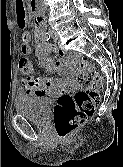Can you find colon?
I'll list each match as a JSON object with an SVG mask.
<instances>
[{"instance_id": "1", "label": "colon", "mask_w": 123, "mask_h": 167, "mask_svg": "<svg viewBox=\"0 0 123 167\" xmlns=\"http://www.w3.org/2000/svg\"><path fill=\"white\" fill-rule=\"evenodd\" d=\"M19 67L23 75H28L32 70L31 62L27 58L20 60ZM78 82L79 87L72 94L60 95L54 109L55 129L61 139L68 138L83 125L100 101V91L104 87V82L91 62L80 61Z\"/></svg>"}]
</instances>
